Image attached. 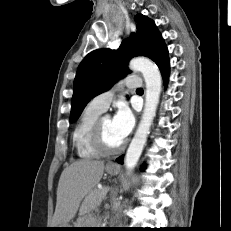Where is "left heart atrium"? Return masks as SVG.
<instances>
[{"label":"left heart atrium","mask_w":231,"mask_h":231,"mask_svg":"<svg viewBox=\"0 0 231 231\" xmlns=\"http://www.w3.org/2000/svg\"><path fill=\"white\" fill-rule=\"evenodd\" d=\"M134 124L135 119L130 109L125 105H120L112 119V125L122 141L131 133Z\"/></svg>","instance_id":"39dd6f15"}]
</instances>
